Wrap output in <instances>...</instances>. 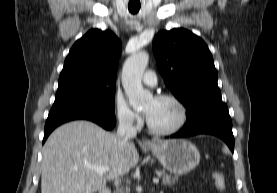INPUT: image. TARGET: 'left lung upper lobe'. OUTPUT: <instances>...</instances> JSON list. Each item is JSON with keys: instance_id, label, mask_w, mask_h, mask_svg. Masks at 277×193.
Masks as SVG:
<instances>
[{"instance_id": "obj_1", "label": "left lung upper lobe", "mask_w": 277, "mask_h": 193, "mask_svg": "<svg viewBox=\"0 0 277 193\" xmlns=\"http://www.w3.org/2000/svg\"><path fill=\"white\" fill-rule=\"evenodd\" d=\"M152 46L158 70L186 107L187 118L204 106L223 103L213 57L200 37L176 28L159 32Z\"/></svg>"}]
</instances>
